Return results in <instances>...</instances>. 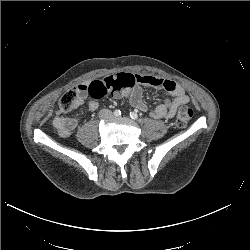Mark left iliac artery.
<instances>
[{"label":"left iliac artery","instance_id":"left-iliac-artery-1","mask_svg":"<svg viewBox=\"0 0 250 250\" xmlns=\"http://www.w3.org/2000/svg\"><path fill=\"white\" fill-rule=\"evenodd\" d=\"M130 117H131L132 119L136 120V119L138 118V115H137V113H135V112H130Z\"/></svg>","mask_w":250,"mask_h":250}]
</instances>
